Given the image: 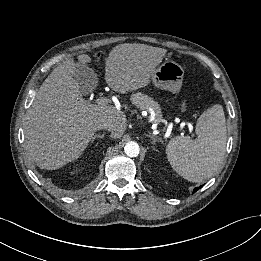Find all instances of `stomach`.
I'll use <instances>...</instances> for the list:
<instances>
[{"label":"stomach","mask_w":261,"mask_h":261,"mask_svg":"<svg viewBox=\"0 0 261 261\" xmlns=\"http://www.w3.org/2000/svg\"><path fill=\"white\" fill-rule=\"evenodd\" d=\"M184 69L174 61H165L157 67L151 77L153 84L172 93H178L182 86Z\"/></svg>","instance_id":"0dacf381"}]
</instances>
